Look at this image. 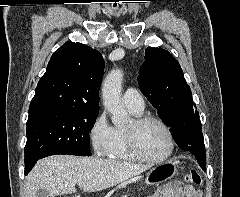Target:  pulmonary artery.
<instances>
[{
  "instance_id": "e3ab8cb5",
  "label": "pulmonary artery",
  "mask_w": 240,
  "mask_h": 197,
  "mask_svg": "<svg viewBox=\"0 0 240 197\" xmlns=\"http://www.w3.org/2000/svg\"><path fill=\"white\" fill-rule=\"evenodd\" d=\"M123 103L126 107L136 111H143L145 102L143 96L134 88H128L123 94Z\"/></svg>"
}]
</instances>
